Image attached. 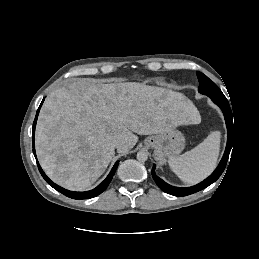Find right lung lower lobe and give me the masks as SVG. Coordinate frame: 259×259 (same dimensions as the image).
<instances>
[{
  "instance_id": "right-lung-lower-lobe-1",
  "label": "right lung lower lobe",
  "mask_w": 259,
  "mask_h": 259,
  "mask_svg": "<svg viewBox=\"0 0 259 259\" xmlns=\"http://www.w3.org/2000/svg\"><path fill=\"white\" fill-rule=\"evenodd\" d=\"M44 101V99H43ZM42 101V103H43ZM41 103V105H42ZM40 105V107H41ZM40 107L37 111V114H36V117H35V120H34V123H33V135H32V141H33V153L34 155L36 156V153H35V147H34V132H35V126H36V121H37V117H38V114H39V110H40ZM118 163L119 161H117L112 170L110 171L109 175L106 177V179L101 183L99 184L95 189L93 190H90V191H86V192H73V191H69V190H66L58 185H56L55 183H53L46 175L45 173L43 172L42 168L40 167L38 161H37V165H38V168H39V171L42 175V177L45 179V181L50 185L52 186L54 189H56L57 191L61 192L62 194L66 195L67 197H70V198H73V199H89V198H93L99 194H101L106 188L107 186L109 185L111 179L113 178L114 176V173L117 169V166H118Z\"/></svg>"
}]
</instances>
